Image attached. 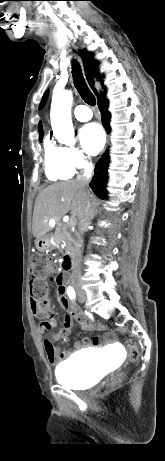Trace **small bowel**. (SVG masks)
<instances>
[{"label":"small bowel","mask_w":165,"mask_h":461,"mask_svg":"<svg viewBox=\"0 0 165 461\" xmlns=\"http://www.w3.org/2000/svg\"><path fill=\"white\" fill-rule=\"evenodd\" d=\"M65 277H66V272L65 271H57V274L55 275V283L57 284L58 288V297L61 299V305L62 307L66 310V314L64 316L63 324L59 331L55 334L51 335V339L54 341L63 339L67 337L70 333L71 326L73 323V319H78L82 326L85 329H92L93 325L88 322L87 320H84L79 313H77L70 300L67 297V292L65 288ZM31 306V312L32 314L36 317L41 319V323L38 328V334L42 337L44 334L52 330L53 328L56 327L57 321L54 316L53 311L50 312V314H46L42 309H40L37 305V303L31 299L30 302ZM108 338H112V334L107 335ZM99 340L97 338H83L82 340L78 341L75 343L74 347L72 349H66L63 351H59L56 349L49 341H46L44 344V348L47 354V358L51 364H57L60 361L69 358L74 351L80 350L82 348L88 347L90 345H98Z\"/></svg>","instance_id":"obj_1"}]
</instances>
